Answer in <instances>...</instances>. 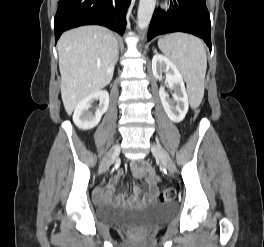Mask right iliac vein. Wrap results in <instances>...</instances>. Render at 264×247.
I'll list each match as a JSON object with an SVG mask.
<instances>
[{"mask_svg": "<svg viewBox=\"0 0 264 247\" xmlns=\"http://www.w3.org/2000/svg\"><path fill=\"white\" fill-rule=\"evenodd\" d=\"M120 152V146L115 145L113 146L106 157L103 159L102 164H101V170L106 171L110 165L113 163V161L117 158Z\"/></svg>", "mask_w": 264, "mask_h": 247, "instance_id": "63e3f726", "label": "right iliac vein"}]
</instances>
